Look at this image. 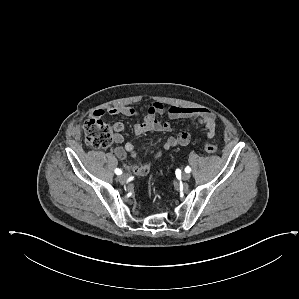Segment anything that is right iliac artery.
Returning a JSON list of instances; mask_svg holds the SVG:
<instances>
[{
  "label": "right iliac artery",
  "mask_w": 299,
  "mask_h": 299,
  "mask_svg": "<svg viewBox=\"0 0 299 299\" xmlns=\"http://www.w3.org/2000/svg\"><path fill=\"white\" fill-rule=\"evenodd\" d=\"M115 174L117 175H121L122 174V170L121 169H115Z\"/></svg>",
  "instance_id": "right-iliac-artery-1"
}]
</instances>
